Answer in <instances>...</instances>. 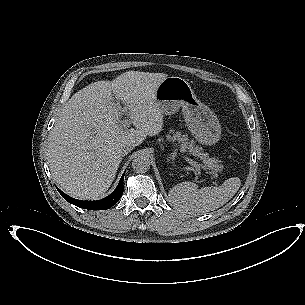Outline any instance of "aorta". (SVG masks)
Here are the masks:
<instances>
[{
    "label": "aorta",
    "instance_id": "1",
    "mask_svg": "<svg viewBox=\"0 0 305 305\" xmlns=\"http://www.w3.org/2000/svg\"><path fill=\"white\" fill-rule=\"evenodd\" d=\"M150 158L147 154H138L132 160V169L136 173H145L150 169Z\"/></svg>",
    "mask_w": 305,
    "mask_h": 305
}]
</instances>
